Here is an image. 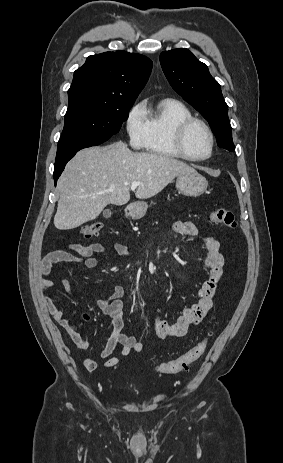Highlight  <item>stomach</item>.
I'll use <instances>...</instances> for the list:
<instances>
[{"label": "stomach", "instance_id": "1", "mask_svg": "<svg viewBox=\"0 0 283 463\" xmlns=\"http://www.w3.org/2000/svg\"><path fill=\"white\" fill-rule=\"evenodd\" d=\"M207 186L206 178L196 171L180 175L176 180L177 190L185 196H200L207 189ZM147 209V202H136L130 206L129 214L134 219H140L146 214Z\"/></svg>", "mask_w": 283, "mask_h": 463}]
</instances>
